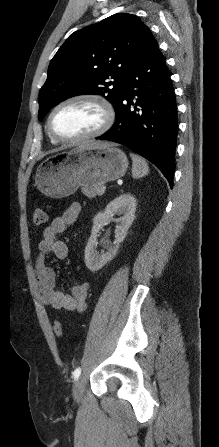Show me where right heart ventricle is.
I'll return each instance as SVG.
<instances>
[{
    "label": "right heart ventricle",
    "mask_w": 219,
    "mask_h": 447,
    "mask_svg": "<svg viewBox=\"0 0 219 447\" xmlns=\"http://www.w3.org/2000/svg\"><path fill=\"white\" fill-rule=\"evenodd\" d=\"M52 141L55 143L56 142V140H54L53 138H52Z\"/></svg>",
    "instance_id": "right-heart-ventricle-1"
}]
</instances>
